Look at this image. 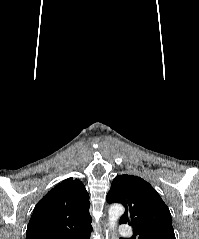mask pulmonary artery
<instances>
[{"instance_id":"pulmonary-artery-1","label":"pulmonary artery","mask_w":199,"mask_h":239,"mask_svg":"<svg viewBox=\"0 0 199 239\" xmlns=\"http://www.w3.org/2000/svg\"><path fill=\"white\" fill-rule=\"evenodd\" d=\"M119 233L122 237H131L133 235V230L129 225L122 224L119 227Z\"/></svg>"}]
</instances>
